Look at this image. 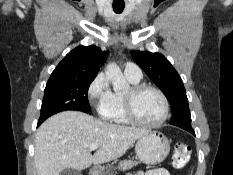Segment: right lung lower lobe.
Wrapping results in <instances>:
<instances>
[{
    "label": "right lung lower lobe",
    "mask_w": 233,
    "mask_h": 175,
    "mask_svg": "<svg viewBox=\"0 0 233 175\" xmlns=\"http://www.w3.org/2000/svg\"><path fill=\"white\" fill-rule=\"evenodd\" d=\"M42 122H43V121L39 120V121H38V125H37V126H39Z\"/></svg>",
    "instance_id": "1"
}]
</instances>
